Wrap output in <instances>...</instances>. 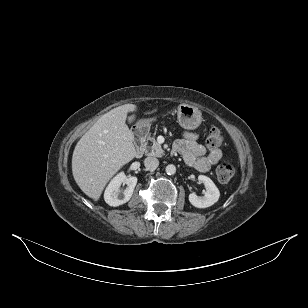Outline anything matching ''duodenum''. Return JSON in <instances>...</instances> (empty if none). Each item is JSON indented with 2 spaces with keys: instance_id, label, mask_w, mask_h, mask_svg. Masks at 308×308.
<instances>
[{
  "instance_id": "1",
  "label": "duodenum",
  "mask_w": 308,
  "mask_h": 308,
  "mask_svg": "<svg viewBox=\"0 0 308 308\" xmlns=\"http://www.w3.org/2000/svg\"><path fill=\"white\" fill-rule=\"evenodd\" d=\"M148 133V126L145 124L138 125L134 131V140L136 145L135 156L141 157L144 152V139Z\"/></svg>"
}]
</instances>
